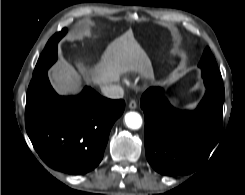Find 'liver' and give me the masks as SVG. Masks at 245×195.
Masks as SVG:
<instances>
[{
	"label": "liver",
	"instance_id": "6515ba94",
	"mask_svg": "<svg viewBox=\"0 0 245 195\" xmlns=\"http://www.w3.org/2000/svg\"><path fill=\"white\" fill-rule=\"evenodd\" d=\"M128 71H137L146 78L152 76L150 59L135 39L132 30L108 45L92 74V81L101 86L112 85ZM49 75L54 88L60 94L73 93L80 87V75L63 58L51 68Z\"/></svg>",
	"mask_w": 245,
	"mask_h": 195
}]
</instances>
